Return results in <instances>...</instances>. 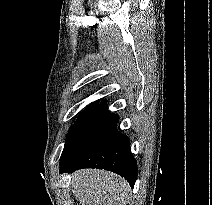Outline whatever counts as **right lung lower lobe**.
<instances>
[{
	"label": "right lung lower lobe",
	"instance_id": "obj_1",
	"mask_svg": "<svg viewBox=\"0 0 212 205\" xmlns=\"http://www.w3.org/2000/svg\"><path fill=\"white\" fill-rule=\"evenodd\" d=\"M118 116L110 113L105 100L61 155L60 172L81 168L105 169L124 177L131 187L137 178V165L130 152L129 139L116 129Z\"/></svg>",
	"mask_w": 212,
	"mask_h": 205
}]
</instances>
